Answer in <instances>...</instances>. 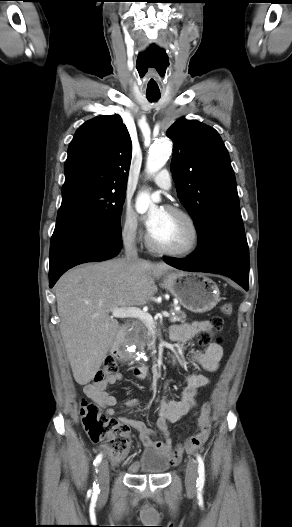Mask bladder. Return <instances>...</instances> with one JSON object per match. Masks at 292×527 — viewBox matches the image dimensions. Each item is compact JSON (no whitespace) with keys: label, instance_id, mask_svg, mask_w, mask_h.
Instances as JSON below:
<instances>
[{"label":"bladder","instance_id":"1","mask_svg":"<svg viewBox=\"0 0 292 527\" xmlns=\"http://www.w3.org/2000/svg\"><path fill=\"white\" fill-rule=\"evenodd\" d=\"M170 466L168 458L156 450H146L136 462V470L146 474H163Z\"/></svg>","mask_w":292,"mask_h":527}]
</instances>
